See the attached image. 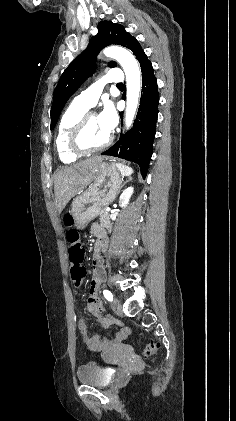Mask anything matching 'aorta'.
Segmentation results:
<instances>
[{"instance_id": "762f6f07", "label": "aorta", "mask_w": 236, "mask_h": 421, "mask_svg": "<svg viewBox=\"0 0 236 421\" xmlns=\"http://www.w3.org/2000/svg\"><path fill=\"white\" fill-rule=\"evenodd\" d=\"M103 52L106 56L116 58L125 72L127 86L125 124L129 128L134 120L141 90V72L138 62L135 56L122 46H108Z\"/></svg>"}]
</instances>
